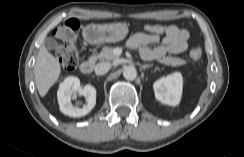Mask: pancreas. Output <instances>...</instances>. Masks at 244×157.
<instances>
[{
  "label": "pancreas",
  "instance_id": "cf45deb5",
  "mask_svg": "<svg viewBox=\"0 0 244 157\" xmlns=\"http://www.w3.org/2000/svg\"><path fill=\"white\" fill-rule=\"evenodd\" d=\"M97 58L100 60L110 61L118 59V56L114 54L113 47L106 46L102 48L101 52L97 55ZM157 61L161 64L173 67L181 66L187 63L186 60H183L179 57H172L171 55L157 58Z\"/></svg>",
  "mask_w": 244,
  "mask_h": 157
}]
</instances>
